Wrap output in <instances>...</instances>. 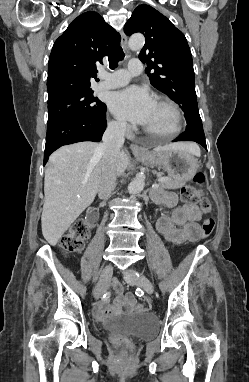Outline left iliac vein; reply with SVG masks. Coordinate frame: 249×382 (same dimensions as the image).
Wrapping results in <instances>:
<instances>
[{
  "label": "left iliac vein",
  "instance_id": "left-iliac-vein-1",
  "mask_svg": "<svg viewBox=\"0 0 249 382\" xmlns=\"http://www.w3.org/2000/svg\"><path fill=\"white\" fill-rule=\"evenodd\" d=\"M125 281L130 284H136L140 286L143 290H145L148 294H152L154 291L153 284L151 281L143 274L138 275L137 277H133L129 270L124 272Z\"/></svg>",
  "mask_w": 249,
  "mask_h": 382
}]
</instances>
